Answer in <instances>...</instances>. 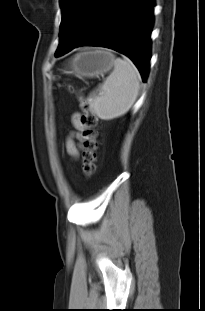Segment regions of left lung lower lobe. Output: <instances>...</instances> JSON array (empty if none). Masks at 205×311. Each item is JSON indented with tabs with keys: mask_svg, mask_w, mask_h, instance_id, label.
Segmentation results:
<instances>
[{
	"mask_svg": "<svg viewBox=\"0 0 205 311\" xmlns=\"http://www.w3.org/2000/svg\"><path fill=\"white\" fill-rule=\"evenodd\" d=\"M153 7L154 0H115L91 32L68 51L55 56L79 46L107 47L127 55L146 81L151 57Z\"/></svg>",
	"mask_w": 205,
	"mask_h": 311,
	"instance_id": "obj_1",
	"label": "left lung lower lobe"
}]
</instances>
